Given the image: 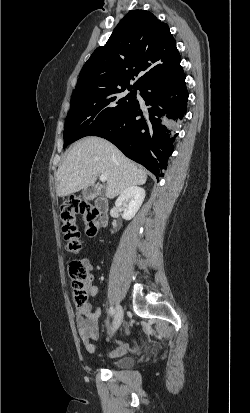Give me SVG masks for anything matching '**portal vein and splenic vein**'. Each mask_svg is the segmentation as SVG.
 <instances>
[{"instance_id":"portal-vein-and-splenic-vein-1","label":"portal vein and splenic vein","mask_w":250,"mask_h":413,"mask_svg":"<svg viewBox=\"0 0 250 413\" xmlns=\"http://www.w3.org/2000/svg\"><path fill=\"white\" fill-rule=\"evenodd\" d=\"M99 179H100L101 182H106L107 176L106 175H100Z\"/></svg>"}]
</instances>
